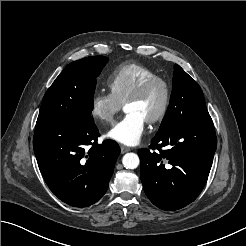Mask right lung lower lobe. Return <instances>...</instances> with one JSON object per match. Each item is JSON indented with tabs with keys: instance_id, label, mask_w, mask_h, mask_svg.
I'll use <instances>...</instances> for the list:
<instances>
[{
	"instance_id": "98d812e1",
	"label": "right lung lower lobe",
	"mask_w": 246,
	"mask_h": 246,
	"mask_svg": "<svg viewBox=\"0 0 246 246\" xmlns=\"http://www.w3.org/2000/svg\"><path fill=\"white\" fill-rule=\"evenodd\" d=\"M98 129L90 126L37 123L33 148L51 191L74 207H87L107 191L119 146L97 144Z\"/></svg>"
}]
</instances>
